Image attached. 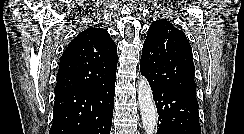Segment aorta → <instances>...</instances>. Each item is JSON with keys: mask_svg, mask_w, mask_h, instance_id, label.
Instances as JSON below:
<instances>
[{"mask_svg": "<svg viewBox=\"0 0 244 134\" xmlns=\"http://www.w3.org/2000/svg\"><path fill=\"white\" fill-rule=\"evenodd\" d=\"M138 102L144 131L146 134H154L157 128V108L151 87L144 76L138 81Z\"/></svg>", "mask_w": 244, "mask_h": 134, "instance_id": "aorta-1", "label": "aorta"}]
</instances>
